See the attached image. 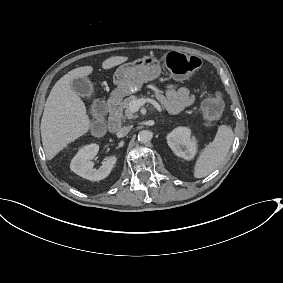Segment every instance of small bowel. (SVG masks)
Returning <instances> with one entry per match:
<instances>
[{
	"mask_svg": "<svg viewBox=\"0 0 283 283\" xmlns=\"http://www.w3.org/2000/svg\"><path fill=\"white\" fill-rule=\"evenodd\" d=\"M159 102L171 113H177L194 102V96L187 87L167 85L163 93H158Z\"/></svg>",
	"mask_w": 283,
	"mask_h": 283,
	"instance_id": "small-bowel-1",
	"label": "small bowel"
}]
</instances>
